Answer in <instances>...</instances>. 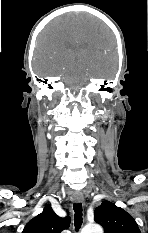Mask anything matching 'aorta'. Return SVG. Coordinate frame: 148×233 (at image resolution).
Returning a JSON list of instances; mask_svg holds the SVG:
<instances>
[{"label":"aorta","instance_id":"762f6f07","mask_svg":"<svg viewBox=\"0 0 148 233\" xmlns=\"http://www.w3.org/2000/svg\"><path fill=\"white\" fill-rule=\"evenodd\" d=\"M81 233H103V229L99 224L86 225Z\"/></svg>","mask_w":148,"mask_h":233}]
</instances>
